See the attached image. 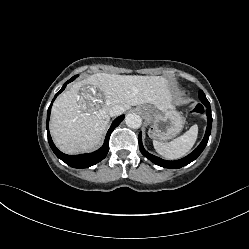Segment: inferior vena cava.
Returning a JSON list of instances; mask_svg holds the SVG:
<instances>
[{
    "label": "inferior vena cava",
    "instance_id": "inferior-vena-cava-1",
    "mask_svg": "<svg viewBox=\"0 0 249 249\" xmlns=\"http://www.w3.org/2000/svg\"><path fill=\"white\" fill-rule=\"evenodd\" d=\"M124 111H125V109H124L122 106L116 105V106H113V107H111V108L109 109V115H110L111 117H113V116H118V115L123 114Z\"/></svg>",
    "mask_w": 249,
    "mask_h": 249
}]
</instances>
